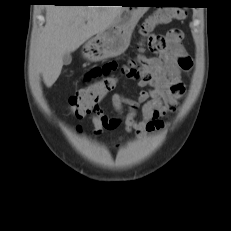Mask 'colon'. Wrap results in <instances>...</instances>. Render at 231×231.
Here are the masks:
<instances>
[{
	"label": "colon",
	"instance_id": "1",
	"mask_svg": "<svg viewBox=\"0 0 231 231\" xmlns=\"http://www.w3.org/2000/svg\"><path fill=\"white\" fill-rule=\"evenodd\" d=\"M185 17V12L179 8H164L156 11L145 20L141 26L142 46L141 49H150L159 52L165 49V41L162 36L154 35L153 30L157 25L166 24ZM123 75L139 78L138 62L131 60L122 68ZM116 79L114 77L99 79L84 88L79 89L69 98L71 113L82 118L87 114L94 113L99 109V103L108 92L114 89Z\"/></svg>",
	"mask_w": 231,
	"mask_h": 231
}]
</instances>
